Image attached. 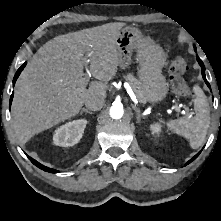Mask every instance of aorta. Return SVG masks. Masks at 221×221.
<instances>
[{"instance_id": "1", "label": "aorta", "mask_w": 221, "mask_h": 221, "mask_svg": "<svg viewBox=\"0 0 221 221\" xmlns=\"http://www.w3.org/2000/svg\"><path fill=\"white\" fill-rule=\"evenodd\" d=\"M124 113L123 106L120 104H113L110 108V116L113 119H120L122 118Z\"/></svg>"}]
</instances>
